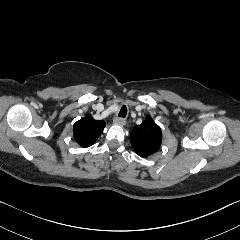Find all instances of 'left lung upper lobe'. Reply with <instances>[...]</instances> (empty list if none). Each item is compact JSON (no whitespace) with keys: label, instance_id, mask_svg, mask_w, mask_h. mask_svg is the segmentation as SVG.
<instances>
[{"label":"left lung upper lobe","instance_id":"left-lung-upper-lobe-1","mask_svg":"<svg viewBox=\"0 0 240 240\" xmlns=\"http://www.w3.org/2000/svg\"><path fill=\"white\" fill-rule=\"evenodd\" d=\"M130 139L137 154L146 157L159 149L162 142V132L154 120L147 116L141 125L133 128Z\"/></svg>","mask_w":240,"mask_h":240}]
</instances>
